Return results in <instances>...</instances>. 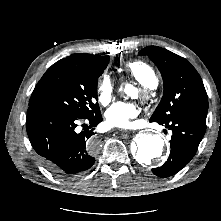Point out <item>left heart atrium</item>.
I'll return each mask as SVG.
<instances>
[{
	"mask_svg": "<svg viewBox=\"0 0 221 221\" xmlns=\"http://www.w3.org/2000/svg\"><path fill=\"white\" fill-rule=\"evenodd\" d=\"M139 108L133 102H116L105 112V121L110 127L130 128L131 120L137 117Z\"/></svg>",
	"mask_w": 221,
	"mask_h": 221,
	"instance_id": "39dd6f15",
	"label": "left heart atrium"
}]
</instances>
